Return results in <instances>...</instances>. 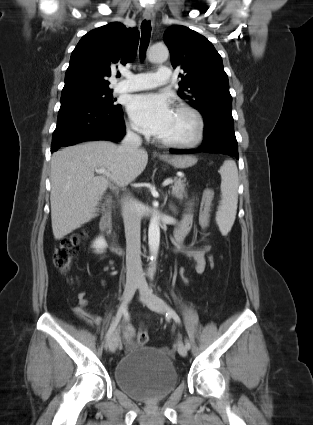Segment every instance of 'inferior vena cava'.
Segmentation results:
<instances>
[{"instance_id":"obj_1","label":"inferior vena cava","mask_w":313,"mask_h":425,"mask_svg":"<svg viewBox=\"0 0 313 425\" xmlns=\"http://www.w3.org/2000/svg\"><path fill=\"white\" fill-rule=\"evenodd\" d=\"M142 144L141 137L127 129L122 140L120 150L133 155L139 151ZM122 216L126 236V282L144 283L145 278L141 265V242L140 225L141 218L138 211V202L134 199H126L122 207Z\"/></svg>"}]
</instances>
